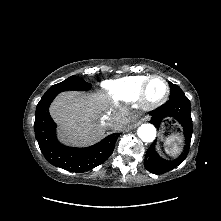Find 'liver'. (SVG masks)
<instances>
[{
    "label": "liver",
    "mask_w": 221,
    "mask_h": 221,
    "mask_svg": "<svg viewBox=\"0 0 221 221\" xmlns=\"http://www.w3.org/2000/svg\"><path fill=\"white\" fill-rule=\"evenodd\" d=\"M50 113L59 126L62 141L86 146L100 140L107 128L120 131L129 126V112L112 103L102 93L64 92L50 106ZM112 118V126L101 125V117Z\"/></svg>",
    "instance_id": "1"
}]
</instances>
